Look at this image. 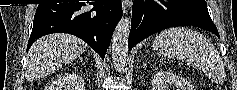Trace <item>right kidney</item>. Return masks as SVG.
I'll list each match as a JSON object with an SVG mask.
<instances>
[{
  "instance_id": "ca27d5eb",
  "label": "right kidney",
  "mask_w": 237,
  "mask_h": 90,
  "mask_svg": "<svg viewBox=\"0 0 237 90\" xmlns=\"http://www.w3.org/2000/svg\"><path fill=\"white\" fill-rule=\"evenodd\" d=\"M75 78H76V76H75ZM76 80H77V78H76ZM56 86H57V84H56ZM48 90H59V86H57V88H52V86H48Z\"/></svg>"
}]
</instances>
